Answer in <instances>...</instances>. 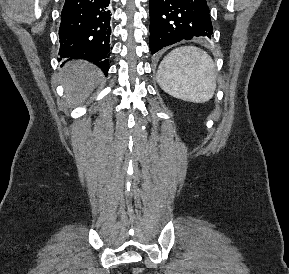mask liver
Wrapping results in <instances>:
<instances>
[{
    "mask_svg": "<svg viewBox=\"0 0 289 274\" xmlns=\"http://www.w3.org/2000/svg\"><path fill=\"white\" fill-rule=\"evenodd\" d=\"M101 77V71L85 61L68 63L60 73L66 105L74 107L82 104L95 89Z\"/></svg>",
    "mask_w": 289,
    "mask_h": 274,
    "instance_id": "1",
    "label": "liver"
}]
</instances>
